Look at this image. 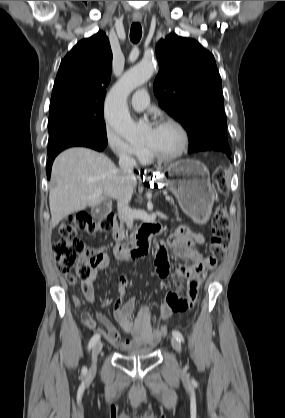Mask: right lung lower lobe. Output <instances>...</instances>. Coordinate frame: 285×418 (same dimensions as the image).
Here are the masks:
<instances>
[{"mask_svg": "<svg viewBox=\"0 0 285 418\" xmlns=\"http://www.w3.org/2000/svg\"><path fill=\"white\" fill-rule=\"evenodd\" d=\"M74 146L88 147V148H92V149L97 150V151H103L106 147V145L100 144L96 141H89V140H80V141H76V142H72L70 144H67L66 146H63L62 148L58 149L56 152L52 153L51 155H48L49 159L47 161V166H46L48 179L50 178V175H51V167H52V163H53L55 157L62 150L66 149V148H69V147H74Z\"/></svg>", "mask_w": 285, "mask_h": 418, "instance_id": "right-lung-lower-lobe-1", "label": "right lung lower lobe"}]
</instances>
